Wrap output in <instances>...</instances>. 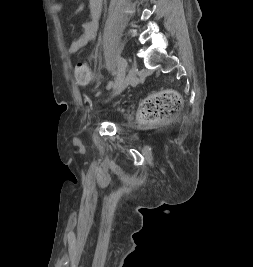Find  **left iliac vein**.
Segmentation results:
<instances>
[{
  "label": "left iliac vein",
  "instance_id": "4c4485c4",
  "mask_svg": "<svg viewBox=\"0 0 253 267\" xmlns=\"http://www.w3.org/2000/svg\"><path fill=\"white\" fill-rule=\"evenodd\" d=\"M120 58H122V57H119L118 59H120ZM129 70H130V73L127 75L126 80H125L126 86H128V85H135V84L138 83V80H137L136 74H135V72H136L135 71V65L132 64L130 66ZM120 91H121V89L116 90V93H119Z\"/></svg>",
  "mask_w": 253,
  "mask_h": 267
}]
</instances>
